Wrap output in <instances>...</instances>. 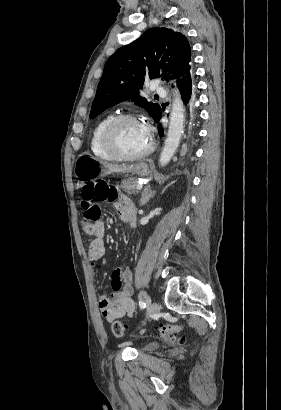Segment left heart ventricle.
Listing matches in <instances>:
<instances>
[{"label": "left heart ventricle", "instance_id": "b2bd125f", "mask_svg": "<svg viewBox=\"0 0 281 410\" xmlns=\"http://www.w3.org/2000/svg\"><path fill=\"white\" fill-rule=\"evenodd\" d=\"M114 141L122 151L133 154L146 149L150 143V137L144 131L142 123L124 121L116 127Z\"/></svg>", "mask_w": 281, "mask_h": 410}]
</instances>
